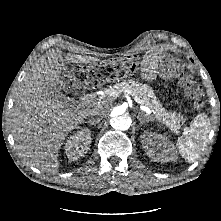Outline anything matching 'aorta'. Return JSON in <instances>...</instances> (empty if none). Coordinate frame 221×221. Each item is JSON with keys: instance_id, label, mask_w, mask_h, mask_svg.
<instances>
[{"instance_id": "obj_1", "label": "aorta", "mask_w": 221, "mask_h": 221, "mask_svg": "<svg viewBox=\"0 0 221 221\" xmlns=\"http://www.w3.org/2000/svg\"><path fill=\"white\" fill-rule=\"evenodd\" d=\"M131 117L122 107H116L111 113L110 124L114 129L127 130L131 126Z\"/></svg>"}]
</instances>
